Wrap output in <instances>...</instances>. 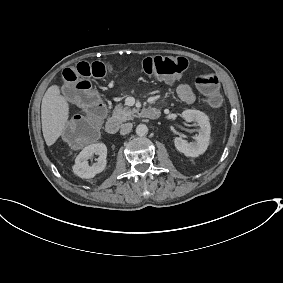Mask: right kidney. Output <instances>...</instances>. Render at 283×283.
Segmentation results:
<instances>
[{"label": "right kidney", "instance_id": "1", "mask_svg": "<svg viewBox=\"0 0 283 283\" xmlns=\"http://www.w3.org/2000/svg\"><path fill=\"white\" fill-rule=\"evenodd\" d=\"M98 155V162L93 166L88 165V158L92 155ZM107 147L103 143L90 144L85 147L75 158L72 166L73 173L82 179H92L101 173L107 165Z\"/></svg>", "mask_w": 283, "mask_h": 283}]
</instances>
